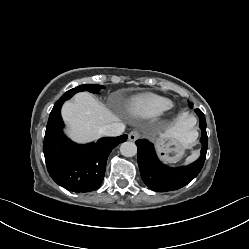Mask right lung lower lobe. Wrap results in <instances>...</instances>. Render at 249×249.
Here are the masks:
<instances>
[{"mask_svg":"<svg viewBox=\"0 0 249 249\" xmlns=\"http://www.w3.org/2000/svg\"><path fill=\"white\" fill-rule=\"evenodd\" d=\"M55 103L46 127L43 152L51 178L63 188L73 192H90L100 187L107 158L127 135L105 137L97 142L78 145L68 139L62 129L61 107Z\"/></svg>","mask_w":249,"mask_h":249,"instance_id":"right-lung-lower-lobe-1","label":"right lung lower lobe"}]
</instances>
